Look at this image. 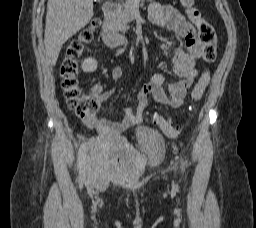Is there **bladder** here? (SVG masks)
<instances>
[{
    "label": "bladder",
    "instance_id": "bladder-1",
    "mask_svg": "<svg viewBox=\"0 0 256 228\" xmlns=\"http://www.w3.org/2000/svg\"><path fill=\"white\" fill-rule=\"evenodd\" d=\"M145 151L124 138L100 135L87 140V164L96 175L106 179L140 177L145 170L162 158L165 151L163 137L151 129L140 133Z\"/></svg>",
    "mask_w": 256,
    "mask_h": 228
}]
</instances>
